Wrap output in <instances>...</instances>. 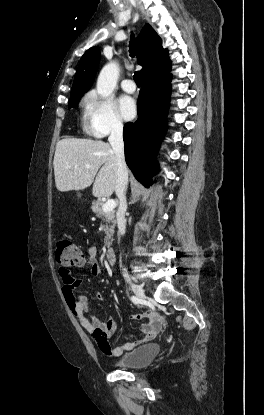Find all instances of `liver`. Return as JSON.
<instances>
[{
	"label": "liver",
	"mask_w": 264,
	"mask_h": 415,
	"mask_svg": "<svg viewBox=\"0 0 264 415\" xmlns=\"http://www.w3.org/2000/svg\"><path fill=\"white\" fill-rule=\"evenodd\" d=\"M53 165L56 187L61 192L82 190L93 182L95 197H109L115 191L116 158L106 142L62 139L56 145Z\"/></svg>",
	"instance_id": "6515ba94"
}]
</instances>
